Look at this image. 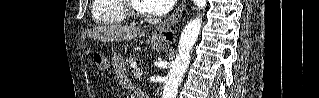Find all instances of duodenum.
<instances>
[{"instance_id":"410a0bca","label":"duodenum","mask_w":319,"mask_h":98,"mask_svg":"<svg viewBox=\"0 0 319 98\" xmlns=\"http://www.w3.org/2000/svg\"><path fill=\"white\" fill-rule=\"evenodd\" d=\"M136 97L137 98H146L144 94H142L140 91H136Z\"/></svg>"}]
</instances>
